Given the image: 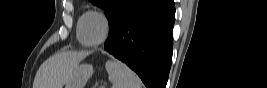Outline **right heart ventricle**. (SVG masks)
<instances>
[{"label": "right heart ventricle", "mask_w": 267, "mask_h": 88, "mask_svg": "<svg viewBox=\"0 0 267 88\" xmlns=\"http://www.w3.org/2000/svg\"><path fill=\"white\" fill-rule=\"evenodd\" d=\"M89 12H85L83 13L79 18H78V21H77V25H76V36H77V39L78 41L85 45L83 40H82V36H81V28H82V25H83V22H84V18L86 17V15L88 14Z\"/></svg>", "instance_id": "1"}]
</instances>
